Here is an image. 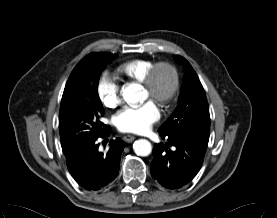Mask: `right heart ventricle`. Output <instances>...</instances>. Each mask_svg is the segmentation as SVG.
<instances>
[{
	"label": "right heart ventricle",
	"mask_w": 277,
	"mask_h": 218,
	"mask_svg": "<svg viewBox=\"0 0 277 218\" xmlns=\"http://www.w3.org/2000/svg\"><path fill=\"white\" fill-rule=\"evenodd\" d=\"M147 62L135 61L127 65L126 70L136 78H142L146 72Z\"/></svg>",
	"instance_id": "e07e8e85"
}]
</instances>
